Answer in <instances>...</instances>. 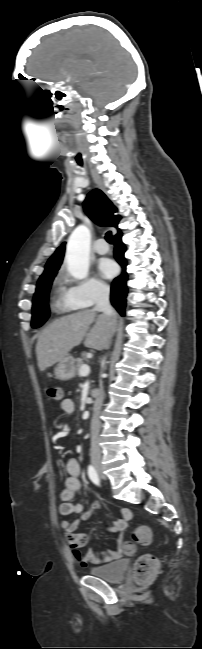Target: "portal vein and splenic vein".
<instances>
[{"mask_svg": "<svg viewBox=\"0 0 202 649\" xmlns=\"http://www.w3.org/2000/svg\"><path fill=\"white\" fill-rule=\"evenodd\" d=\"M79 373L81 376H88L90 373V368L87 365L81 366Z\"/></svg>", "mask_w": 202, "mask_h": 649, "instance_id": "18ae733b", "label": "portal vein and splenic vein"}]
</instances>
